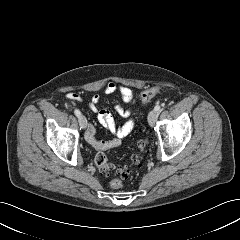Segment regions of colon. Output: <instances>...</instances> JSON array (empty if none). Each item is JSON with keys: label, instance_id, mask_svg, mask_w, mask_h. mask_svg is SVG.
Instances as JSON below:
<instances>
[{"label": "colon", "instance_id": "5ec220e1", "mask_svg": "<svg viewBox=\"0 0 240 240\" xmlns=\"http://www.w3.org/2000/svg\"><path fill=\"white\" fill-rule=\"evenodd\" d=\"M159 90L156 87L149 88L141 93V101L144 103L150 102L155 96L158 94ZM144 148V142L139 143V149L142 150ZM94 162L100 171L104 174H109L114 168L108 162L107 157L103 153L96 154L94 158ZM140 157L138 155L132 158L133 164H139ZM131 169L129 166H120L116 169V173L119 177H116L111 180L110 186L114 189H119L123 185V179H126L130 173Z\"/></svg>", "mask_w": 240, "mask_h": 240}]
</instances>
